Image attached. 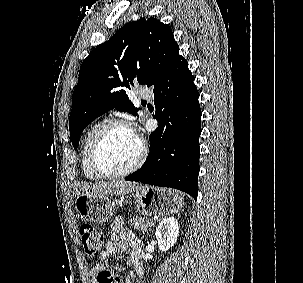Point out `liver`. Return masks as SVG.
Segmentation results:
<instances>
[{
  "label": "liver",
  "mask_w": 303,
  "mask_h": 283,
  "mask_svg": "<svg viewBox=\"0 0 303 283\" xmlns=\"http://www.w3.org/2000/svg\"><path fill=\"white\" fill-rule=\"evenodd\" d=\"M138 188H140L138 183L124 180L93 184L83 182L79 184V189L76 191V195L86 194L92 197L121 196Z\"/></svg>",
  "instance_id": "liver-1"
}]
</instances>
